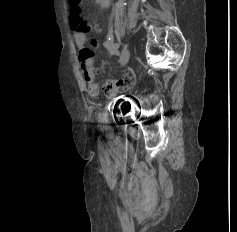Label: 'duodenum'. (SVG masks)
<instances>
[{
    "mask_svg": "<svg viewBox=\"0 0 237 232\" xmlns=\"http://www.w3.org/2000/svg\"><path fill=\"white\" fill-rule=\"evenodd\" d=\"M97 1L103 7L107 6L109 3V0H97Z\"/></svg>",
    "mask_w": 237,
    "mask_h": 232,
    "instance_id": "410a0bca",
    "label": "duodenum"
}]
</instances>
